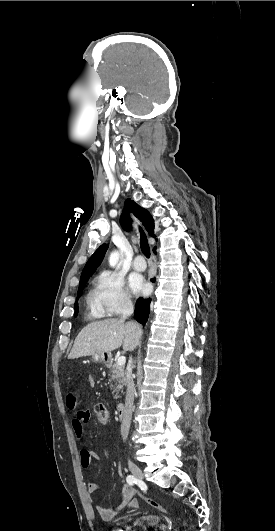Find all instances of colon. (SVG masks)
<instances>
[{"mask_svg":"<svg viewBox=\"0 0 275 531\" xmlns=\"http://www.w3.org/2000/svg\"><path fill=\"white\" fill-rule=\"evenodd\" d=\"M95 411H96V416H97L98 420L102 424L108 423V420H109L108 410L103 404H97ZM147 501L152 506L159 507V503L157 501L152 500V499H147Z\"/></svg>","mask_w":275,"mask_h":531,"instance_id":"5ec220e1","label":"colon"}]
</instances>
